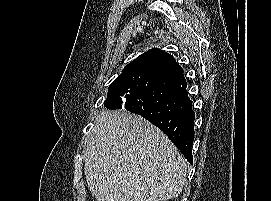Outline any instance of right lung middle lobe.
<instances>
[{
  "instance_id": "dd1d6c3e",
  "label": "right lung middle lobe",
  "mask_w": 271,
  "mask_h": 201,
  "mask_svg": "<svg viewBox=\"0 0 271 201\" xmlns=\"http://www.w3.org/2000/svg\"><path fill=\"white\" fill-rule=\"evenodd\" d=\"M151 74L148 70H138L122 73L108 89L104 106L108 109H119L123 99L144 91Z\"/></svg>"
}]
</instances>
